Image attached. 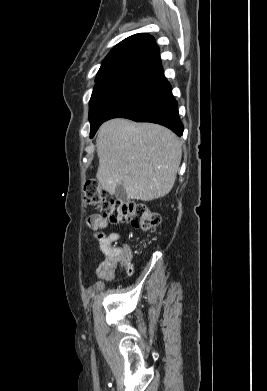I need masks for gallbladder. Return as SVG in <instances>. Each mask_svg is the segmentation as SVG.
<instances>
[{"label":"gallbladder","mask_w":267,"mask_h":391,"mask_svg":"<svg viewBox=\"0 0 267 391\" xmlns=\"http://www.w3.org/2000/svg\"><path fill=\"white\" fill-rule=\"evenodd\" d=\"M115 197L122 203L128 201V197L122 183L116 187Z\"/></svg>","instance_id":"obj_1"}]
</instances>
